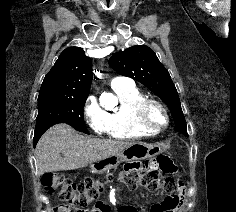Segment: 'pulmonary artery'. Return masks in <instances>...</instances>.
Returning <instances> with one entry per match:
<instances>
[{
    "mask_svg": "<svg viewBox=\"0 0 236 212\" xmlns=\"http://www.w3.org/2000/svg\"><path fill=\"white\" fill-rule=\"evenodd\" d=\"M131 80L129 78H125V77H114L111 82L110 85L112 88H116V87H120V86H125L128 84H131Z\"/></svg>",
    "mask_w": 236,
    "mask_h": 212,
    "instance_id": "pulmonary-artery-1",
    "label": "pulmonary artery"
}]
</instances>
